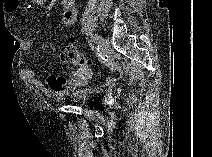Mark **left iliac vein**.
<instances>
[{
  "label": "left iliac vein",
  "instance_id": "left-iliac-vein-1",
  "mask_svg": "<svg viewBox=\"0 0 212 157\" xmlns=\"http://www.w3.org/2000/svg\"><path fill=\"white\" fill-rule=\"evenodd\" d=\"M96 37H97L98 42L100 44L102 54H107L108 50H109L108 41L101 35H96Z\"/></svg>",
  "mask_w": 212,
  "mask_h": 157
}]
</instances>
